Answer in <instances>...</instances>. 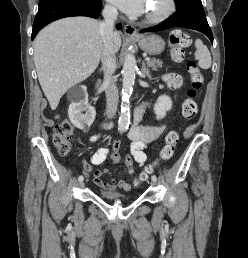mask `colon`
<instances>
[{"mask_svg": "<svg viewBox=\"0 0 248 258\" xmlns=\"http://www.w3.org/2000/svg\"><path fill=\"white\" fill-rule=\"evenodd\" d=\"M191 43L190 36L180 30H174L170 33L169 44L171 47V55L176 62L182 63L185 61L184 48ZM187 68L190 75L191 87L187 92V98L182 104V115L185 119H193L198 112L196 98L199 90L203 85V75L194 60L187 62ZM170 86L176 88L179 86V81L171 78L169 80ZM74 133V126L68 120H64L57 123L53 131V142L61 155H67L71 149L70 137ZM179 139V134L176 130H170L165 138V145L162 148L159 156V160H169L175 151V145ZM122 142L114 141L112 146V159L114 162H118L120 158L119 151L121 149ZM125 158L122 161V168L134 169V154L130 152L124 153ZM154 171V166L150 165L141 172L137 180L143 182L148 180L149 175Z\"/></svg>", "mask_w": 248, "mask_h": 258, "instance_id": "5ec220e1", "label": "colon"}]
</instances>
